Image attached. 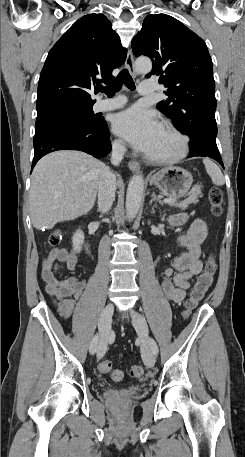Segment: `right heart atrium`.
Masks as SVG:
<instances>
[{"instance_id": "obj_1", "label": "right heart atrium", "mask_w": 245, "mask_h": 457, "mask_svg": "<svg viewBox=\"0 0 245 457\" xmlns=\"http://www.w3.org/2000/svg\"><path fill=\"white\" fill-rule=\"evenodd\" d=\"M115 146H116L117 149H122V147H123V145H122V143L120 141H116L115 142Z\"/></svg>"}]
</instances>
